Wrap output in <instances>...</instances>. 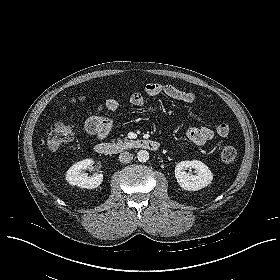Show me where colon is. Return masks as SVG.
Wrapping results in <instances>:
<instances>
[{"label":"colon","mask_w":280,"mask_h":280,"mask_svg":"<svg viewBox=\"0 0 280 280\" xmlns=\"http://www.w3.org/2000/svg\"><path fill=\"white\" fill-rule=\"evenodd\" d=\"M84 99L85 97L82 96L78 98V101H84ZM89 130L91 132L97 133V128L94 125H91L89 127ZM73 136H74L73 130L71 129L70 126H68L63 122L55 123L50 128L47 147L51 151L57 150L67 142L71 141L73 139ZM236 156H237V149L234 145L227 144L223 146L221 150V158L224 162L226 163L233 162L236 159Z\"/></svg>","instance_id":"1"}]
</instances>
